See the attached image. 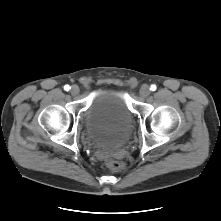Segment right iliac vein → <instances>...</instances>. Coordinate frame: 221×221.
<instances>
[{
  "instance_id": "right-iliac-vein-1",
  "label": "right iliac vein",
  "mask_w": 221,
  "mask_h": 221,
  "mask_svg": "<svg viewBox=\"0 0 221 221\" xmlns=\"http://www.w3.org/2000/svg\"><path fill=\"white\" fill-rule=\"evenodd\" d=\"M79 92H80L79 87L77 85H73L71 88L72 95H77V94H79Z\"/></svg>"
}]
</instances>
